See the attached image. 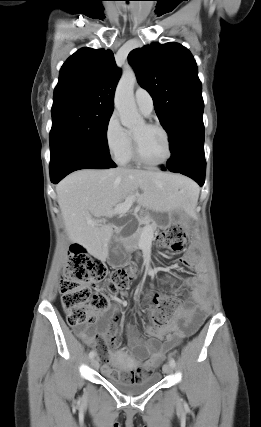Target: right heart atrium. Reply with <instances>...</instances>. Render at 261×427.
<instances>
[{
    "mask_svg": "<svg viewBox=\"0 0 261 427\" xmlns=\"http://www.w3.org/2000/svg\"><path fill=\"white\" fill-rule=\"evenodd\" d=\"M104 138L110 155L121 162L131 146V136L121 125L116 112L111 113L105 124Z\"/></svg>",
    "mask_w": 261,
    "mask_h": 427,
    "instance_id": "obj_1",
    "label": "right heart atrium"
}]
</instances>
